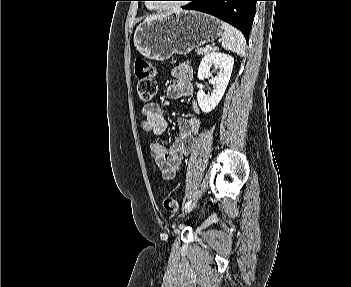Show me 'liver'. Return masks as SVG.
Masks as SVG:
<instances>
[{
  "instance_id": "obj_1",
  "label": "liver",
  "mask_w": 351,
  "mask_h": 287,
  "mask_svg": "<svg viewBox=\"0 0 351 287\" xmlns=\"http://www.w3.org/2000/svg\"><path fill=\"white\" fill-rule=\"evenodd\" d=\"M180 12V11H178ZM163 15H160V16H153V17H150V18H147L146 21L148 20H153V19H156V18H159V17H162Z\"/></svg>"
}]
</instances>
